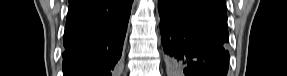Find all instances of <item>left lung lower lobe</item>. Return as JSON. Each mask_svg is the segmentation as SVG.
<instances>
[{"instance_id":"obj_1","label":"left lung lower lobe","mask_w":287,"mask_h":76,"mask_svg":"<svg viewBox=\"0 0 287 76\" xmlns=\"http://www.w3.org/2000/svg\"><path fill=\"white\" fill-rule=\"evenodd\" d=\"M164 52L186 75L226 76L229 52L225 4L220 0H158Z\"/></svg>"}]
</instances>
